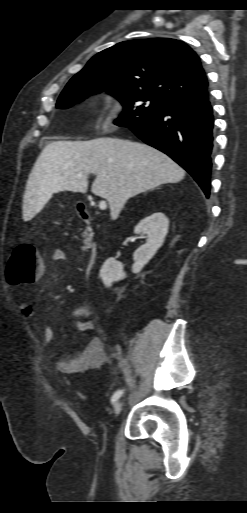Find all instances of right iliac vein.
Instances as JSON below:
<instances>
[{
	"instance_id": "right-iliac-vein-1",
	"label": "right iliac vein",
	"mask_w": 247,
	"mask_h": 513,
	"mask_svg": "<svg viewBox=\"0 0 247 513\" xmlns=\"http://www.w3.org/2000/svg\"><path fill=\"white\" fill-rule=\"evenodd\" d=\"M123 405H124L123 401L115 402V404H114V411H115V415L116 416H118L120 414V412L122 411Z\"/></svg>"
}]
</instances>
